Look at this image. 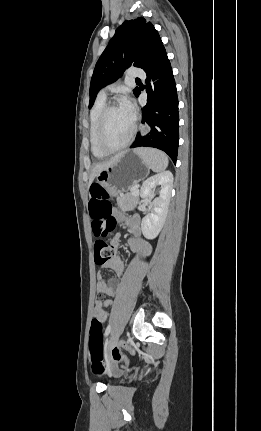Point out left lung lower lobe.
<instances>
[{"instance_id": "left-lung-lower-lobe-1", "label": "left lung lower lobe", "mask_w": 261, "mask_h": 431, "mask_svg": "<svg viewBox=\"0 0 261 431\" xmlns=\"http://www.w3.org/2000/svg\"><path fill=\"white\" fill-rule=\"evenodd\" d=\"M147 74V104L142 108V123L147 126L130 148L154 147L166 152L176 163L179 142V115L176 84L164 46L143 69ZM140 94L138 90L136 96Z\"/></svg>"}]
</instances>
